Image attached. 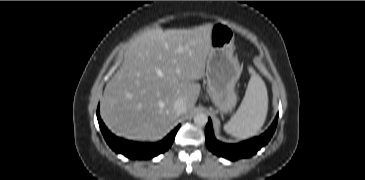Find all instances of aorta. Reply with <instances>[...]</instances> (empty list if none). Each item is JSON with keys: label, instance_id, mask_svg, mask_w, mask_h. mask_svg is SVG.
<instances>
[{"label": "aorta", "instance_id": "aorta-1", "mask_svg": "<svg viewBox=\"0 0 365 180\" xmlns=\"http://www.w3.org/2000/svg\"><path fill=\"white\" fill-rule=\"evenodd\" d=\"M194 122L197 125L204 126L208 122V117L204 113H199V114H197V115L194 116Z\"/></svg>", "mask_w": 365, "mask_h": 180}]
</instances>
